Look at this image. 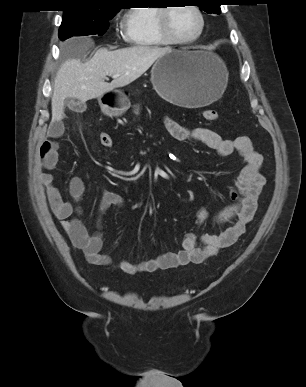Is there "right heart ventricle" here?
<instances>
[{
  "mask_svg": "<svg viewBox=\"0 0 306 387\" xmlns=\"http://www.w3.org/2000/svg\"><path fill=\"white\" fill-rule=\"evenodd\" d=\"M158 7H137L128 11L124 18V38L132 46L154 48L168 43L158 30Z\"/></svg>",
  "mask_w": 306,
  "mask_h": 387,
  "instance_id": "e07e8e85",
  "label": "right heart ventricle"
}]
</instances>
